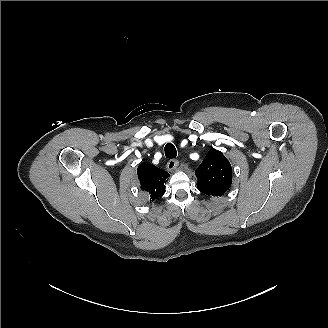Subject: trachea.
Returning a JSON list of instances; mask_svg holds the SVG:
<instances>
[{"mask_svg": "<svg viewBox=\"0 0 328 328\" xmlns=\"http://www.w3.org/2000/svg\"><path fill=\"white\" fill-rule=\"evenodd\" d=\"M165 156L167 158L173 159L177 156V151L172 143H167L164 148Z\"/></svg>", "mask_w": 328, "mask_h": 328, "instance_id": "1", "label": "trachea"}]
</instances>
